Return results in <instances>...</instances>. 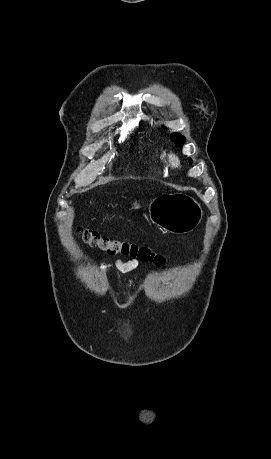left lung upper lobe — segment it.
Instances as JSON below:
<instances>
[{"instance_id": "1", "label": "left lung upper lobe", "mask_w": 271, "mask_h": 459, "mask_svg": "<svg viewBox=\"0 0 271 459\" xmlns=\"http://www.w3.org/2000/svg\"><path fill=\"white\" fill-rule=\"evenodd\" d=\"M171 139L175 141L176 145H178L179 147H182V145L185 142V138L181 134H178V133H172ZM189 162L192 163V160L190 158H189Z\"/></svg>"}]
</instances>
